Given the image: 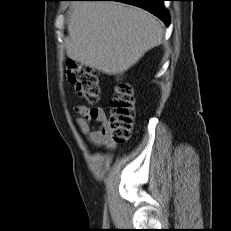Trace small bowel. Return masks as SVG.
<instances>
[{
	"label": "small bowel",
	"mask_w": 231,
	"mask_h": 231,
	"mask_svg": "<svg viewBox=\"0 0 231 231\" xmlns=\"http://www.w3.org/2000/svg\"><path fill=\"white\" fill-rule=\"evenodd\" d=\"M76 112L79 129L89 142L97 146L113 147L110 123L104 109L81 105L76 107Z\"/></svg>",
	"instance_id": "1"
}]
</instances>
